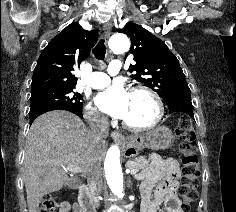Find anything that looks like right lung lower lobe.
I'll return each mask as SVG.
<instances>
[{"mask_svg": "<svg viewBox=\"0 0 236 212\" xmlns=\"http://www.w3.org/2000/svg\"><path fill=\"white\" fill-rule=\"evenodd\" d=\"M52 110H67L70 112H73L79 117L82 116V109H76V108H67V107H59V106H51V105H36L34 107H30L29 117H30V124L34 121L35 118H37L39 115L52 111Z\"/></svg>", "mask_w": 236, "mask_h": 212, "instance_id": "1", "label": "right lung lower lobe"}]
</instances>
